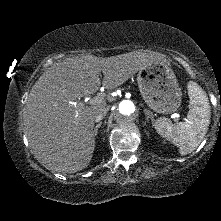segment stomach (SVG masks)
I'll use <instances>...</instances> for the list:
<instances>
[{
  "mask_svg": "<svg viewBox=\"0 0 221 221\" xmlns=\"http://www.w3.org/2000/svg\"><path fill=\"white\" fill-rule=\"evenodd\" d=\"M137 82L144 101L152 110L167 114L179 108L181 89L168 64L155 62L139 70Z\"/></svg>",
  "mask_w": 221,
  "mask_h": 221,
  "instance_id": "0dacf381",
  "label": "stomach"
}]
</instances>
